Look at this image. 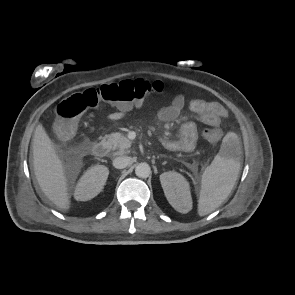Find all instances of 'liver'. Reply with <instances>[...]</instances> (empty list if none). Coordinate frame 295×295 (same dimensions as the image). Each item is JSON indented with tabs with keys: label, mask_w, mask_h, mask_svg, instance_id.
I'll use <instances>...</instances> for the list:
<instances>
[{
	"label": "liver",
	"mask_w": 295,
	"mask_h": 295,
	"mask_svg": "<svg viewBox=\"0 0 295 295\" xmlns=\"http://www.w3.org/2000/svg\"><path fill=\"white\" fill-rule=\"evenodd\" d=\"M32 151L34 173L42 192L57 208L67 211L71 201L65 167L42 124L34 131Z\"/></svg>",
	"instance_id": "6515ba94"
}]
</instances>
